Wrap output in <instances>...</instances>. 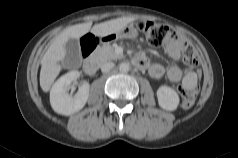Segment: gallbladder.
I'll list each match as a JSON object with an SVG mask.
<instances>
[{
    "instance_id": "1",
    "label": "gallbladder",
    "mask_w": 238,
    "mask_h": 158,
    "mask_svg": "<svg viewBox=\"0 0 238 158\" xmlns=\"http://www.w3.org/2000/svg\"><path fill=\"white\" fill-rule=\"evenodd\" d=\"M66 55L64 63L66 66L74 67L78 66L82 62L80 45L77 39L70 38L65 44Z\"/></svg>"
}]
</instances>
